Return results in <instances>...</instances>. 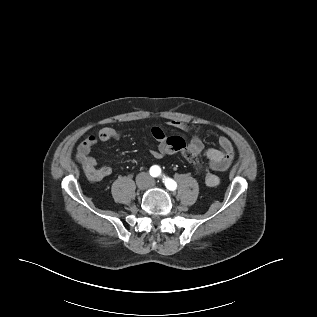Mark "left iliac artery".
Returning a JSON list of instances; mask_svg holds the SVG:
<instances>
[{"mask_svg": "<svg viewBox=\"0 0 317 317\" xmlns=\"http://www.w3.org/2000/svg\"><path fill=\"white\" fill-rule=\"evenodd\" d=\"M163 182L165 184V186L169 189V190H175L177 188V184L176 182L171 179V178H168V177H165L163 178Z\"/></svg>", "mask_w": 317, "mask_h": 317, "instance_id": "44dca946", "label": "left iliac artery"}]
</instances>
